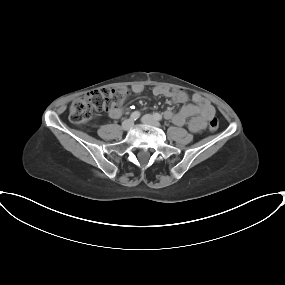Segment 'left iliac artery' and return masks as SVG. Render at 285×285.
I'll return each instance as SVG.
<instances>
[{
    "label": "left iliac artery",
    "mask_w": 285,
    "mask_h": 285,
    "mask_svg": "<svg viewBox=\"0 0 285 285\" xmlns=\"http://www.w3.org/2000/svg\"><path fill=\"white\" fill-rule=\"evenodd\" d=\"M154 118L158 121H161L162 120V116L159 114V113H155L154 115Z\"/></svg>",
    "instance_id": "left-iliac-artery-1"
}]
</instances>
